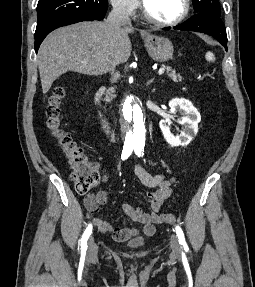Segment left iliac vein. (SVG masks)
<instances>
[{
	"mask_svg": "<svg viewBox=\"0 0 255 287\" xmlns=\"http://www.w3.org/2000/svg\"><path fill=\"white\" fill-rule=\"evenodd\" d=\"M170 246H171L173 254L175 256H178L180 254L181 247H180L179 241L177 239V236H175V235L172 236Z\"/></svg>",
	"mask_w": 255,
	"mask_h": 287,
	"instance_id": "left-iliac-vein-1",
	"label": "left iliac vein"
}]
</instances>
